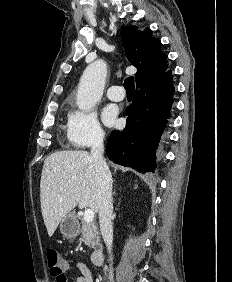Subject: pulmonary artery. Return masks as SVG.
Here are the masks:
<instances>
[{"label": "pulmonary artery", "mask_w": 232, "mask_h": 282, "mask_svg": "<svg viewBox=\"0 0 232 282\" xmlns=\"http://www.w3.org/2000/svg\"><path fill=\"white\" fill-rule=\"evenodd\" d=\"M106 95L112 101H121L125 97L123 88L118 85L110 86L107 89Z\"/></svg>", "instance_id": "e3ab8cb5"}]
</instances>
